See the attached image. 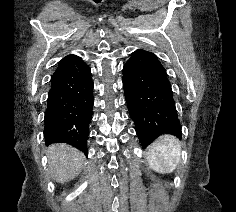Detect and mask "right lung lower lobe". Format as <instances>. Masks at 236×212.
<instances>
[{
  "label": "right lung lower lobe",
  "instance_id": "obj_1",
  "mask_svg": "<svg viewBox=\"0 0 236 212\" xmlns=\"http://www.w3.org/2000/svg\"><path fill=\"white\" fill-rule=\"evenodd\" d=\"M92 106L93 82L89 66L76 55L64 57L50 80L44 118L46 143H68L87 153Z\"/></svg>",
  "mask_w": 236,
  "mask_h": 212
}]
</instances>
